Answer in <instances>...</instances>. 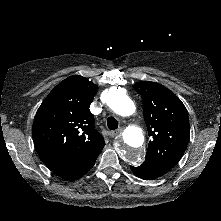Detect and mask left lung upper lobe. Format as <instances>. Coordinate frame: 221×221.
I'll return each mask as SVG.
<instances>
[{"label": "left lung upper lobe", "instance_id": "obj_1", "mask_svg": "<svg viewBox=\"0 0 221 221\" xmlns=\"http://www.w3.org/2000/svg\"><path fill=\"white\" fill-rule=\"evenodd\" d=\"M142 96L149 142L145 162L161 174L168 172L183 156L190 138L187 110L165 86L142 81L133 85Z\"/></svg>", "mask_w": 221, "mask_h": 221}]
</instances>
